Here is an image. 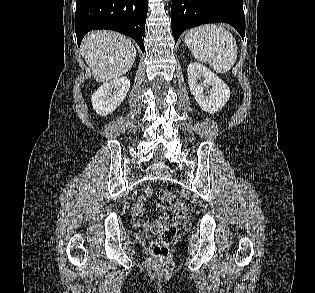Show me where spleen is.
Wrapping results in <instances>:
<instances>
[{"label": "spleen", "instance_id": "3e777b00", "mask_svg": "<svg viewBox=\"0 0 315 293\" xmlns=\"http://www.w3.org/2000/svg\"><path fill=\"white\" fill-rule=\"evenodd\" d=\"M185 44L199 62H208L218 73L228 72L237 59V44L224 27L207 24L190 29Z\"/></svg>", "mask_w": 315, "mask_h": 293}]
</instances>
